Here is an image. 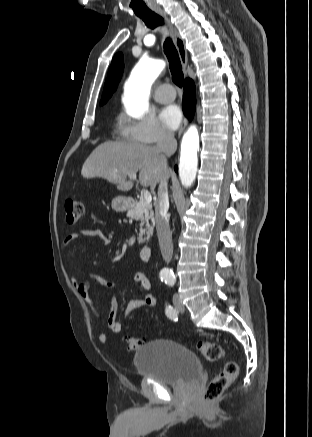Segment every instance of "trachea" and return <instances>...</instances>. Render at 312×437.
Instances as JSON below:
<instances>
[{"label":"trachea","instance_id":"3493384b","mask_svg":"<svg viewBox=\"0 0 312 437\" xmlns=\"http://www.w3.org/2000/svg\"><path fill=\"white\" fill-rule=\"evenodd\" d=\"M138 17L144 21L145 25L148 28L153 29L157 26L164 24L163 19L160 16L156 15L155 13L139 15ZM163 47H164V52L169 61L172 79L177 86L182 87L184 81L182 65L172 40L170 38H167L164 42Z\"/></svg>","mask_w":312,"mask_h":437}]
</instances>
